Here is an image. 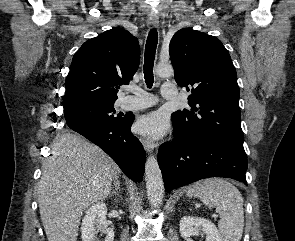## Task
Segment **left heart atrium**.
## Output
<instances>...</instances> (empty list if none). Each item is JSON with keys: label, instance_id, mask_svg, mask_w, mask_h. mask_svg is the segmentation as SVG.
Segmentation results:
<instances>
[{"label": "left heart atrium", "instance_id": "left-heart-atrium-1", "mask_svg": "<svg viewBox=\"0 0 295 241\" xmlns=\"http://www.w3.org/2000/svg\"><path fill=\"white\" fill-rule=\"evenodd\" d=\"M166 127V120L159 113L145 115L141 117L136 124L138 132L153 138H160L163 136L166 131Z\"/></svg>", "mask_w": 295, "mask_h": 241}]
</instances>
